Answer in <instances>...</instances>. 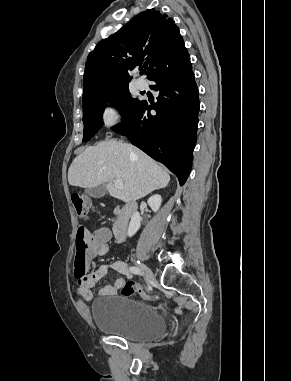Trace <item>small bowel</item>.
Wrapping results in <instances>:
<instances>
[{
    "label": "small bowel",
    "instance_id": "small-bowel-1",
    "mask_svg": "<svg viewBox=\"0 0 291 381\" xmlns=\"http://www.w3.org/2000/svg\"><path fill=\"white\" fill-rule=\"evenodd\" d=\"M111 237V230L107 227H101L93 234L88 233V258L90 261L108 253ZM109 269L121 274L122 277L114 284L102 287L99 292L102 296L118 294L121 285L131 277L126 263L121 260L114 261L110 265H102L78 278L77 293L83 301H89L92 298V288L107 275Z\"/></svg>",
    "mask_w": 291,
    "mask_h": 381
}]
</instances>
